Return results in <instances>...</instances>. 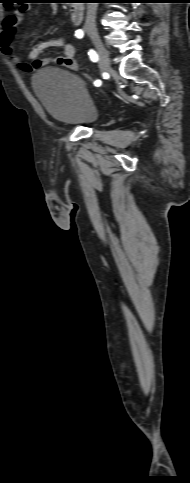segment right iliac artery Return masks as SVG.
Segmentation results:
<instances>
[{
    "instance_id": "right-iliac-artery-1",
    "label": "right iliac artery",
    "mask_w": 190,
    "mask_h": 483,
    "mask_svg": "<svg viewBox=\"0 0 190 483\" xmlns=\"http://www.w3.org/2000/svg\"><path fill=\"white\" fill-rule=\"evenodd\" d=\"M83 35H84V33H83V31L81 29H79V30H77L75 32V36L77 38H82ZM88 54H89V57H90L91 61H93V62H97L98 61V55H97V53L94 50H90ZM94 85L95 86H100L101 85V80H96L94 82Z\"/></svg>"
}]
</instances>
